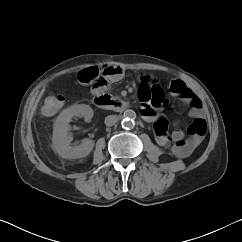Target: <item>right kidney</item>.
Listing matches in <instances>:
<instances>
[{"label": "right kidney", "mask_w": 242, "mask_h": 242, "mask_svg": "<svg viewBox=\"0 0 242 242\" xmlns=\"http://www.w3.org/2000/svg\"><path fill=\"white\" fill-rule=\"evenodd\" d=\"M93 115L92 108L86 104L73 105L59 114L53 128L52 145L60 157L71 160L90 154L94 147L93 140L84 139L80 145L71 147L72 137L68 135V131L70 130L69 123L74 116L83 117L89 121Z\"/></svg>", "instance_id": "1"}]
</instances>
